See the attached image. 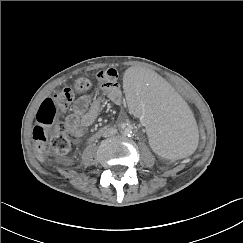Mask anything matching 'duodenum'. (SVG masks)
<instances>
[{
	"label": "duodenum",
	"mask_w": 243,
	"mask_h": 243,
	"mask_svg": "<svg viewBox=\"0 0 243 243\" xmlns=\"http://www.w3.org/2000/svg\"><path fill=\"white\" fill-rule=\"evenodd\" d=\"M102 131H99L96 135H100Z\"/></svg>",
	"instance_id": "duodenum-1"
}]
</instances>
